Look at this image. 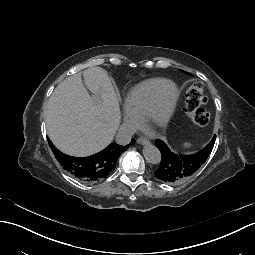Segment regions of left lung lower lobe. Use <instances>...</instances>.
Returning <instances> with one entry per match:
<instances>
[{"label": "left lung lower lobe", "instance_id": "1", "mask_svg": "<svg viewBox=\"0 0 255 255\" xmlns=\"http://www.w3.org/2000/svg\"><path fill=\"white\" fill-rule=\"evenodd\" d=\"M207 147L202 148L198 153L193 155H174L168 148L166 141L159 139L155 146L161 154L159 157L160 164L155 171V175L160 180L170 183H182L185 179L194 175L199 168L205 164L210 157L211 151L216 146L217 138L212 136Z\"/></svg>", "mask_w": 255, "mask_h": 255}]
</instances>
